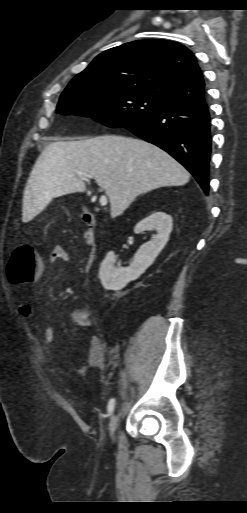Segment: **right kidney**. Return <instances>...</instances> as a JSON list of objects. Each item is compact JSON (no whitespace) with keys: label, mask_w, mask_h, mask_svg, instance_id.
<instances>
[{"label":"right kidney","mask_w":247,"mask_h":513,"mask_svg":"<svg viewBox=\"0 0 247 513\" xmlns=\"http://www.w3.org/2000/svg\"><path fill=\"white\" fill-rule=\"evenodd\" d=\"M172 226V217L164 212H153L141 220L134 228L136 234L153 229L157 231V234L138 249L128 268L115 267L116 256L114 252H109L99 270V278L103 287L106 290H120L129 281L137 279L144 273L168 242Z\"/></svg>","instance_id":"ca27d5eb"}]
</instances>
